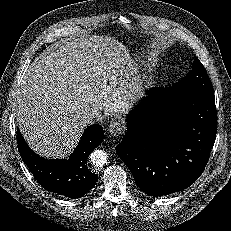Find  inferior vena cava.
I'll list each match as a JSON object with an SVG mask.
<instances>
[{
  "instance_id": "obj_1",
  "label": "inferior vena cava",
  "mask_w": 231,
  "mask_h": 231,
  "mask_svg": "<svg viewBox=\"0 0 231 231\" xmlns=\"http://www.w3.org/2000/svg\"><path fill=\"white\" fill-rule=\"evenodd\" d=\"M79 118L84 124H91L96 118H99V114L96 110L86 109L79 114Z\"/></svg>"
}]
</instances>
